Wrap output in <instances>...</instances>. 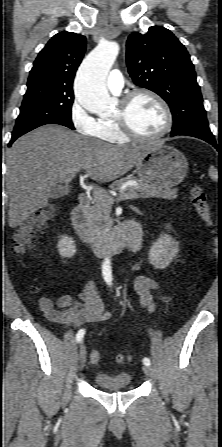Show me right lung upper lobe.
Here are the masks:
<instances>
[{
  "mask_svg": "<svg viewBox=\"0 0 222 447\" xmlns=\"http://www.w3.org/2000/svg\"><path fill=\"white\" fill-rule=\"evenodd\" d=\"M86 49V38L73 32L54 35L38 54L30 71L28 88L47 85L72 92L76 70Z\"/></svg>",
  "mask_w": 222,
  "mask_h": 447,
  "instance_id": "obj_1",
  "label": "right lung upper lobe"
}]
</instances>
